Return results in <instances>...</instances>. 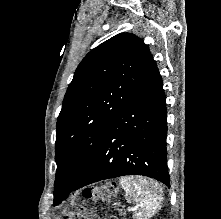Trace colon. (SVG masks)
<instances>
[{"label":"colon","mask_w":221,"mask_h":219,"mask_svg":"<svg viewBox=\"0 0 221 219\" xmlns=\"http://www.w3.org/2000/svg\"><path fill=\"white\" fill-rule=\"evenodd\" d=\"M112 186H104L102 188L103 195H101V198L107 199L108 195L113 192ZM85 197H91V196H98V192L95 190H86L84 191ZM66 219H99L98 216L93 213L92 211L86 209V208H76L72 210L68 217Z\"/></svg>","instance_id":"1"}]
</instances>
